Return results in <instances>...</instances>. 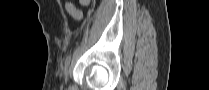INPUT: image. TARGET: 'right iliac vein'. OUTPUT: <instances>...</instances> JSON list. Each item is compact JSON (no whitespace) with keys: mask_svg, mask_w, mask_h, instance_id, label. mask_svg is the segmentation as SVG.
Here are the masks:
<instances>
[{"mask_svg":"<svg viewBox=\"0 0 209 90\" xmlns=\"http://www.w3.org/2000/svg\"><path fill=\"white\" fill-rule=\"evenodd\" d=\"M69 68H70V66H69V63H68V64L66 65V70H65V71H66V74H65L66 76L68 75V69H69Z\"/></svg>","mask_w":209,"mask_h":90,"instance_id":"1","label":"right iliac vein"}]
</instances>
